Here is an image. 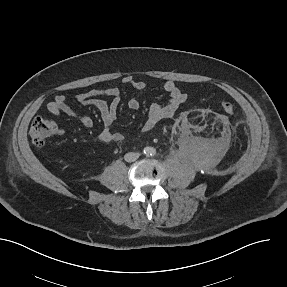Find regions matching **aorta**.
Masks as SVG:
<instances>
[{
	"mask_svg": "<svg viewBox=\"0 0 287 287\" xmlns=\"http://www.w3.org/2000/svg\"><path fill=\"white\" fill-rule=\"evenodd\" d=\"M146 152H147V153H150V152H151V148H149V150H146Z\"/></svg>",
	"mask_w": 287,
	"mask_h": 287,
	"instance_id": "obj_1",
	"label": "aorta"
}]
</instances>
